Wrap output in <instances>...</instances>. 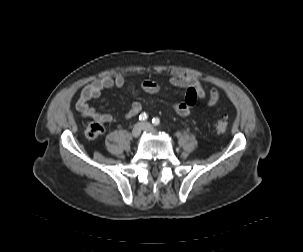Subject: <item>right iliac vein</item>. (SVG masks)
Here are the masks:
<instances>
[{"label":"right iliac vein","mask_w":303,"mask_h":252,"mask_svg":"<svg viewBox=\"0 0 303 252\" xmlns=\"http://www.w3.org/2000/svg\"><path fill=\"white\" fill-rule=\"evenodd\" d=\"M141 131H142V125L140 123L135 124L131 132L132 137L138 138L141 134Z\"/></svg>","instance_id":"1"}]
</instances>
